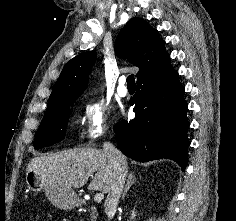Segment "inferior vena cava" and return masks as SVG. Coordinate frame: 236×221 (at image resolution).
Segmentation results:
<instances>
[{
	"instance_id": "1",
	"label": "inferior vena cava",
	"mask_w": 236,
	"mask_h": 221,
	"mask_svg": "<svg viewBox=\"0 0 236 221\" xmlns=\"http://www.w3.org/2000/svg\"><path fill=\"white\" fill-rule=\"evenodd\" d=\"M103 151L112 167V180L104 203L105 213L109 216L116 211L127 175V165L124 155L110 142L103 143Z\"/></svg>"
}]
</instances>
